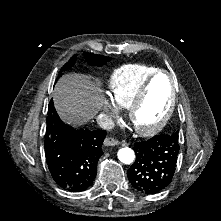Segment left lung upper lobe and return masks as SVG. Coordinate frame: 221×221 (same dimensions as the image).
Instances as JSON below:
<instances>
[{
  "label": "left lung upper lobe",
  "mask_w": 221,
  "mask_h": 221,
  "mask_svg": "<svg viewBox=\"0 0 221 221\" xmlns=\"http://www.w3.org/2000/svg\"><path fill=\"white\" fill-rule=\"evenodd\" d=\"M172 135L178 137V132H175V133H173Z\"/></svg>",
  "instance_id": "left-lung-upper-lobe-1"
}]
</instances>
